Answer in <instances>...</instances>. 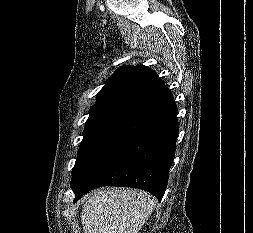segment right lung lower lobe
<instances>
[{"label": "right lung lower lobe", "mask_w": 253, "mask_h": 233, "mask_svg": "<svg viewBox=\"0 0 253 233\" xmlns=\"http://www.w3.org/2000/svg\"><path fill=\"white\" fill-rule=\"evenodd\" d=\"M176 115L165 85L135 103L72 174L75 201L101 186L142 189L160 201L175 156Z\"/></svg>", "instance_id": "1"}]
</instances>
